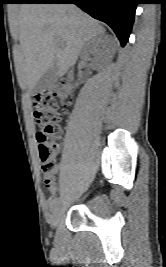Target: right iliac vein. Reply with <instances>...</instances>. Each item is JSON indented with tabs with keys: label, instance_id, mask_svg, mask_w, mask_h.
I'll return each mask as SVG.
<instances>
[{
	"label": "right iliac vein",
	"instance_id": "63e3f726",
	"mask_svg": "<svg viewBox=\"0 0 166 267\" xmlns=\"http://www.w3.org/2000/svg\"><path fill=\"white\" fill-rule=\"evenodd\" d=\"M62 216H63V211L59 207L55 208L51 216V223L53 227L57 226Z\"/></svg>",
	"mask_w": 166,
	"mask_h": 267
}]
</instances>
